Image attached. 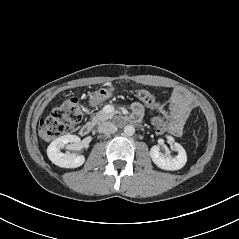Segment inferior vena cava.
<instances>
[{
  "label": "inferior vena cava",
  "mask_w": 239,
  "mask_h": 239,
  "mask_svg": "<svg viewBox=\"0 0 239 239\" xmlns=\"http://www.w3.org/2000/svg\"><path fill=\"white\" fill-rule=\"evenodd\" d=\"M98 131L104 134H113L117 131V127L111 122H104L98 127Z\"/></svg>",
  "instance_id": "602c4592"
}]
</instances>
